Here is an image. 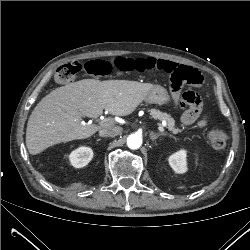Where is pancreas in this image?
I'll list each match as a JSON object with an SVG mask.
<instances>
[{"mask_svg": "<svg viewBox=\"0 0 250 250\" xmlns=\"http://www.w3.org/2000/svg\"><path fill=\"white\" fill-rule=\"evenodd\" d=\"M150 115L154 119H158L160 121H166L168 130L171 131L173 134H177L179 132H182V129L176 128L175 120L169 114L163 113V112L156 110V109H151Z\"/></svg>", "mask_w": 250, "mask_h": 250, "instance_id": "1", "label": "pancreas"}]
</instances>
